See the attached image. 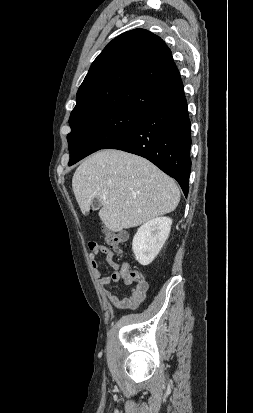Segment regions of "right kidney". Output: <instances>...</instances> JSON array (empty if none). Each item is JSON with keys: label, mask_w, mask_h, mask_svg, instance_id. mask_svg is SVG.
<instances>
[{"label": "right kidney", "mask_w": 253, "mask_h": 413, "mask_svg": "<svg viewBox=\"0 0 253 413\" xmlns=\"http://www.w3.org/2000/svg\"><path fill=\"white\" fill-rule=\"evenodd\" d=\"M171 225V218L158 217L144 223L137 230L132 249L135 259L141 265H148L155 259L169 236Z\"/></svg>", "instance_id": "obj_1"}]
</instances>
